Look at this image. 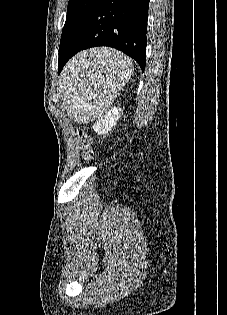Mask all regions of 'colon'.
I'll use <instances>...</instances> for the list:
<instances>
[{
  "mask_svg": "<svg viewBox=\"0 0 227 315\" xmlns=\"http://www.w3.org/2000/svg\"><path fill=\"white\" fill-rule=\"evenodd\" d=\"M77 139L82 149L83 158L85 160H91L94 156L92 136L86 130L79 129Z\"/></svg>",
  "mask_w": 227,
  "mask_h": 315,
  "instance_id": "colon-1",
  "label": "colon"
}]
</instances>
